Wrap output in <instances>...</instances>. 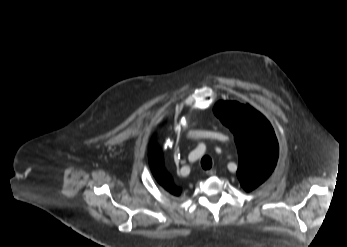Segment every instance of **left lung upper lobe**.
I'll use <instances>...</instances> for the list:
<instances>
[{
  "instance_id": "left-lung-upper-lobe-1",
  "label": "left lung upper lobe",
  "mask_w": 347,
  "mask_h": 247,
  "mask_svg": "<svg viewBox=\"0 0 347 247\" xmlns=\"http://www.w3.org/2000/svg\"><path fill=\"white\" fill-rule=\"evenodd\" d=\"M214 113L234 134L242 187L255 189L269 177L278 159V141L271 124L249 105L234 101H219Z\"/></svg>"
}]
</instances>
